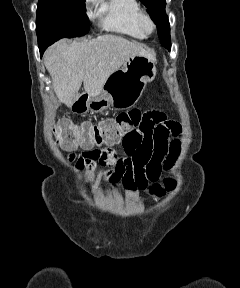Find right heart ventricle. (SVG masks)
<instances>
[{
  "mask_svg": "<svg viewBox=\"0 0 240 288\" xmlns=\"http://www.w3.org/2000/svg\"><path fill=\"white\" fill-rule=\"evenodd\" d=\"M140 11L138 0H102L99 8L100 24L106 31L143 39L145 36L137 26Z\"/></svg>",
  "mask_w": 240,
  "mask_h": 288,
  "instance_id": "1",
  "label": "right heart ventricle"
}]
</instances>
